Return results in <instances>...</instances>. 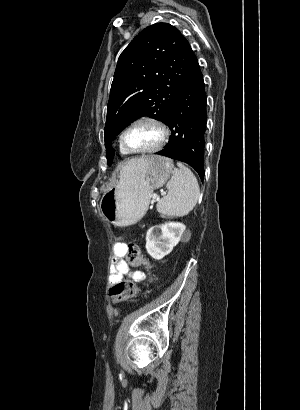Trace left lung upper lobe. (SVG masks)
<instances>
[{
	"label": "left lung upper lobe",
	"mask_w": 300,
	"mask_h": 410,
	"mask_svg": "<svg viewBox=\"0 0 300 410\" xmlns=\"http://www.w3.org/2000/svg\"><path fill=\"white\" fill-rule=\"evenodd\" d=\"M174 26L156 23L141 31L121 53L111 85L104 129L108 165L111 141L142 117L164 122L196 60Z\"/></svg>",
	"instance_id": "5c2ea615"
}]
</instances>
